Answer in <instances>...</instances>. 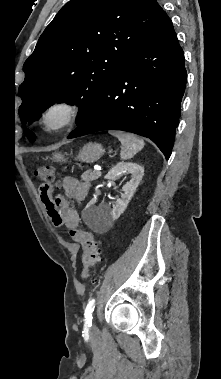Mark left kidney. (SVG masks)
Segmentation results:
<instances>
[{"mask_svg": "<svg viewBox=\"0 0 221 379\" xmlns=\"http://www.w3.org/2000/svg\"><path fill=\"white\" fill-rule=\"evenodd\" d=\"M122 173L131 174V179L123 186L122 190L124 194L116 200L112 209L106 205L96 207L94 205L95 201L92 200L83 210L82 217L91 229H107L120 217L142 180L144 168L136 163L120 162L107 173L105 179L113 181Z\"/></svg>", "mask_w": 221, "mask_h": 379, "instance_id": "obj_1", "label": "left kidney"}]
</instances>
